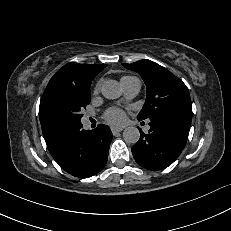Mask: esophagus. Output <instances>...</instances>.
Returning <instances> with one entry per match:
<instances>
[{"label": "esophagus", "instance_id": "34e87169", "mask_svg": "<svg viewBox=\"0 0 231 231\" xmlns=\"http://www.w3.org/2000/svg\"><path fill=\"white\" fill-rule=\"evenodd\" d=\"M123 129H124L123 127H113L111 130L113 135H116L117 133L121 132Z\"/></svg>", "mask_w": 231, "mask_h": 231}]
</instances>
